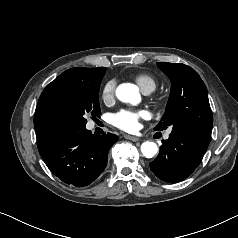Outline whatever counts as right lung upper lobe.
<instances>
[{"label":"right lung upper lobe","mask_w":238,"mask_h":238,"mask_svg":"<svg viewBox=\"0 0 238 238\" xmlns=\"http://www.w3.org/2000/svg\"><path fill=\"white\" fill-rule=\"evenodd\" d=\"M93 68H72L49 83L43 90L34 116L36 134L40 135L60 127V103L58 90L61 84L68 80H91Z\"/></svg>","instance_id":"1"}]
</instances>
